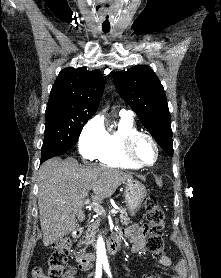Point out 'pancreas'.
<instances>
[{
  "label": "pancreas",
  "instance_id": "1",
  "mask_svg": "<svg viewBox=\"0 0 221 278\" xmlns=\"http://www.w3.org/2000/svg\"><path fill=\"white\" fill-rule=\"evenodd\" d=\"M118 212L120 221L126 225L130 221L126 209L124 207H119ZM101 226V222H91V224L88 225V229L85 233V236L83 237L84 239L81 241L80 244L85 245V248L88 245L92 244L94 241V234L96 233V229L97 227Z\"/></svg>",
  "mask_w": 221,
  "mask_h": 278
}]
</instances>
